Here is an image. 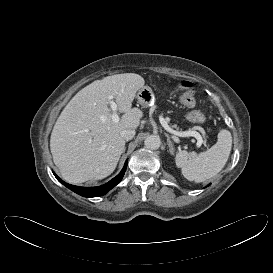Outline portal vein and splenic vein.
Masks as SVG:
<instances>
[{"label": "portal vein and splenic vein", "instance_id": "obj_1", "mask_svg": "<svg viewBox=\"0 0 273 273\" xmlns=\"http://www.w3.org/2000/svg\"><path fill=\"white\" fill-rule=\"evenodd\" d=\"M109 99V104H110V107H111V110H112V120L117 122L119 120V116L117 114V104L113 101V96H109L108 97ZM160 123L161 125L164 127V129L175 135V136H179V137H189V136H192V137H195L197 139V145L198 146H201L202 143H204L201 135L197 132V131H183V132H179V131H176V130H173L168 124L167 122L165 121L164 118H160Z\"/></svg>", "mask_w": 273, "mask_h": 273}]
</instances>
